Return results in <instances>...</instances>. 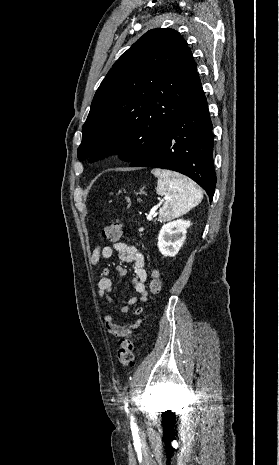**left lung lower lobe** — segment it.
Wrapping results in <instances>:
<instances>
[{
	"mask_svg": "<svg viewBox=\"0 0 279 465\" xmlns=\"http://www.w3.org/2000/svg\"><path fill=\"white\" fill-rule=\"evenodd\" d=\"M214 136L207 101L197 78L186 104L159 139L131 167H155L180 172L197 182L213 198L216 174Z\"/></svg>",
	"mask_w": 279,
	"mask_h": 465,
	"instance_id": "1",
	"label": "left lung lower lobe"
}]
</instances>
